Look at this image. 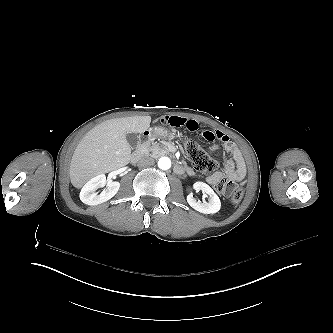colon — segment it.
I'll return each instance as SVG.
<instances>
[{
    "instance_id": "5ec220e1",
    "label": "colon",
    "mask_w": 333,
    "mask_h": 333,
    "mask_svg": "<svg viewBox=\"0 0 333 333\" xmlns=\"http://www.w3.org/2000/svg\"><path fill=\"white\" fill-rule=\"evenodd\" d=\"M183 149L198 171L211 175L218 170L219 163L210 157L197 141L186 139L183 142ZM217 189L224 198L231 200L235 204L239 203L244 196L243 189L226 178H222L217 182Z\"/></svg>"
}]
</instances>
